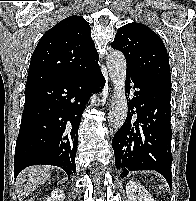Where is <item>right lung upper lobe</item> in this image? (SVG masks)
Segmentation results:
<instances>
[{"label": "right lung upper lobe", "mask_w": 196, "mask_h": 201, "mask_svg": "<svg viewBox=\"0 0 196 201\" xmlns=\"http://www.w3.org/2000/svg\"><path fill=\"white\" fill-rule=\"evenodd\" d=\"M99 59L91 28L83 17H67L40 39L31 57L26 87L63 79Z\"/></svg>", "instance_id": "1"}]
</instances>
